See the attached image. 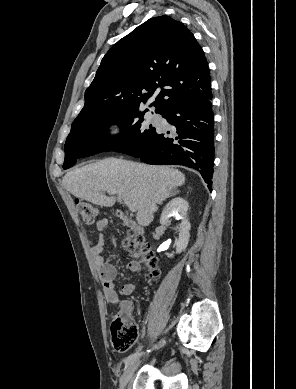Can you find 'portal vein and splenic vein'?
I'll use <instances>...</instances> for the list:
<instances>
[{
    "label": "portal vein and splenic vein",
    "instance_id": "portal-vein-and-splenic-vein-1",
    "mask_svg": "<svg viewBox=\"0 0 296 389\" xmlns=\"http://www.w3.org/2000/svg\"><path fill=\"white\" fill-rule=\"evenodd\" d=\"M125 204L128 206L129 210L131 212H135L136 211V206L132 203H130L129 201L127 200H124Z\"/></svg>",
    "mask_w": 296,
    "mask_h": 389
}]
</instances>
